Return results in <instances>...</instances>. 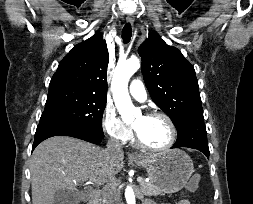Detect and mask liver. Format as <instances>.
Masks as SVG:
<instances>
[{"label": "liver", "mask_w": 253, "mask_h": 204, "mask_svg": "<svg viewBox=\"0 0 253 204\" xmlns=\"http://www.w3.org/2000/svg\"><path fill=\"white\" fill-rule=\"evenodd\" d=\"M124 153L91 143L54 136L40 143L31 157L32 204H54L61 189L75 190L87 180L109 183L124 166Z\"/></svg>", "instance_id": "1"}]
</instances>
